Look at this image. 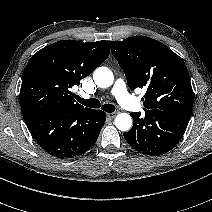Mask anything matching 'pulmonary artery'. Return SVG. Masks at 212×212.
Masks as SVG:
<instances>
[{
    "mask_svg": "<svg viewBox=\"0 0 212 212\" xmlns=\"http://www.w3.org/2000/svg\"><path fill=\"white\" fill-rule=\"evenodd\" d=\"M111 93L116 97L122 107L131 111H138L141 109L139 102L128 93L126 85L122 79L116 80ZM83 96L88 97L87 94H83Z\"/></svg>",
    "mask_w": 212,
    "mask_h": 212,
    "instance_id": "obj_1",
    "label": "pulmonary artery"
}]
</instances>
